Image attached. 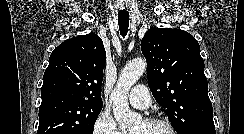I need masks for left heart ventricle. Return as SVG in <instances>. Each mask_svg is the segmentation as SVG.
<instances>
[{"mask_svg": "<svg viewBox=\"0 0 244 134\" xmlns=\"http://www.w3.org/2000/svg\"><path fill=\"white\" fill-rule=\"evenodd\" d=\"M132 134H170V132L162 125H148L145 122H141Z\"/></svg>", "mask_w": 244, "mask_h": 134, "instance_id": "1", "label": "left heart ventricle"}]
</instances>
